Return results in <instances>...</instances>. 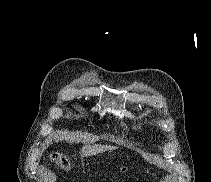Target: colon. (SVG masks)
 I'll return each instance as SVG.
<instances>
[{"label": "colon", "instance_id": "colon-1", "mask_svg": "<svg viewBox=\"0 0 211 182\" xmlns=\"http://www.w3.org/2000/svg\"><path fill=\"white\" fill-rule=\"evenodd\" d=\"M51 159L54 161L56 164H58L60 167H62L64 170H70L71 169V163L68 158L63 156L59 152H54L51 154Z\"/></svg>", "mask_w": 211, "mask_h": 182}]
</instances>
